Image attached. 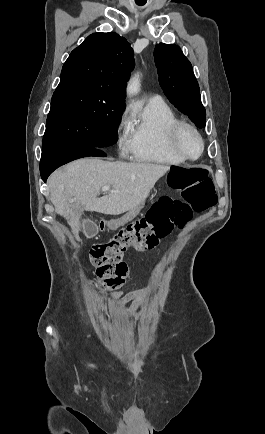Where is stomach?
I'll list each match as a JSON object with an SVG mask.
<instances>
[{"label":"stomach","mask_w":265,"mask_h":434,"mask_svg":"<svg viewBox=\"0 0 265 434\" xmlns=\"http://www.w3.org/2000/svg\"><path fill=\"white\" fill-rule=\"evenodd\" d=\"M144 206V200L143 202H141V204H138V206H135V208H133V210H129V212H127V214H125V216H123V218H121V220H119V222H113V224L109 225V230H114L115 226H121V224H124V222H130V220H133V218H135V216H138L141 208H143Z\"/></svg>","instance_id":"stomach-1"}]
</instances>
